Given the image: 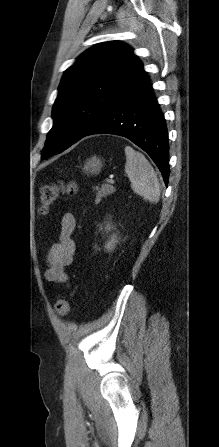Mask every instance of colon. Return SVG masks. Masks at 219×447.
Masks as SVG:
<instances>
[{
    "mask_svg": "<svg viewBox=\"0 0 219 447\" xmlns=\"http://www.w3.org/2000/svg\"><path fill=\"white\" fill-rule=\"evenodd\" d=\"M78 191L79 187L75 181H68L66 183L60 182L58 184L43 186L40 193V212L46 214L58 196L74 195ZM70 309L71 301L69 299H59L55 303V311L59 316L68 315Z\"/></svg>",
    "mask_w": 219,
    "mask_h": 447,
    "instance_id": "obj_1",
    "label": "colon"
}]
</instances>
